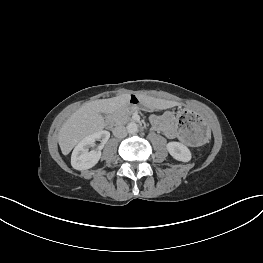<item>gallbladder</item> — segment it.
Returning a JSON list of instances; mask_svg holds the SVG:
<instances>
[{
  "instance_id": "gallbladder-1",
  "label": "gallbladder",
  "mask_w": 263,
  "mask_h": 263,
  "mask_svg": "<svg viewBox=\"0 0 263 263\" xmlns=\"http://www.w3.org/2000/svg\"><path fill=\"white\" fill-rule=\"evenodd\" d=\"M103 117H106V114H102Z\"/></svg>"
}]
</instances>
